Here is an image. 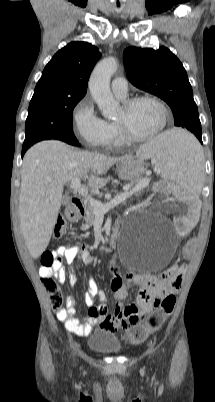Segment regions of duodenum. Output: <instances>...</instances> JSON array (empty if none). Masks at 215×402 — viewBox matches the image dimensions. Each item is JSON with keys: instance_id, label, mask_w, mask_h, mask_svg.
<instances>
[{"instance_id": "obj_1", "label": "duodenum", "mask_w": 215, "mask_h": 402, "mask_svg": "<svg viewBox=\"0 0 215 402\" xmlns=\"http://www.w3.org/2000/svg\"><path fill=\"white\" fill-rule=\"evenodd\" d=\"M84 203L80 198H73L70 205L67 208L66 215L69 220L77 221L79 220L84 214ZM116 235L113 236L112 240L109 243L108 247H105V250H108L114 243Z\"/></svg>"}]
</instances>
